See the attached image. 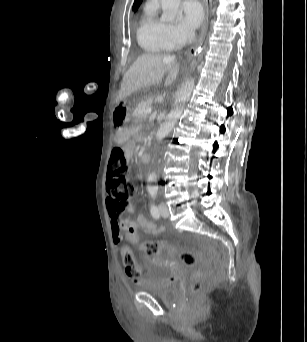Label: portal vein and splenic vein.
I'll return each mask as SVG.
<instances>
[{"label":"portal vein and splenic vein","mask_w":307,"mask_h":342,"mask_svg":"<svg viewBox=\"0 0 307 342\" xmlns=\"http://www.w3.org/2000/svg\"><path fill=\"white\" fill-rule=\"evenodd\" d=\"M152 112V108H147V110H144L145 114H151Z\"/></svg>","instance_id":"1"}]
</instances>
